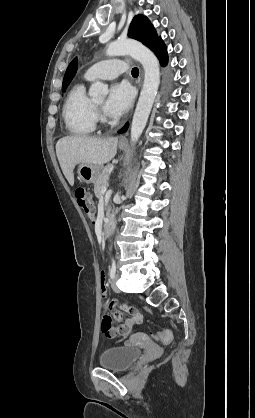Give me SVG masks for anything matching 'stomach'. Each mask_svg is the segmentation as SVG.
Masks as SVG:
<instances>
[{"label": "stomach", "instance_id": "1", "mask_svg": "<svg viewBox=\"0 0 255 418\" xmlns=\"http://www.w3.org/2000/svg\"><path fill=\"white\" fill-rule=\"evenodd\" d=\"M125 145L120 144V148L124 149ZM103 170V166L97 164H80L78 167V178L85 183H93L99 177Z\"/></svg>", "mask_w": 255, "mask_h": 418}]
</instances>
